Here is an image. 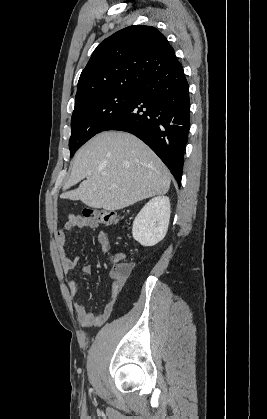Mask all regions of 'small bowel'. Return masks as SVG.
<instances>
[{
    "label": "small bowel",
    "instance_id": "c3829d8e",
    "mask_svg": "<svg viewBox=\"0 0 267 419\" xmlns=\"http://www.w3.org/2000/svg\"><path fill=\"white\" fill-rule=\"evenodd\" d=\"M98 223L82 215L70 214L67 216L64 225L61 229L56 232L55 239L59 245L61 252V262L64 274H68L73 271L79 264V257L69 256L65 251V244L67 242L68 235L78 228H90L96 229ZM97 241L104 253H110V241L108 234L104 231H100L97 235ZM84 274H91L92 267L86 265L82 268ZM128 275L118 276L113 272H110L111 278V298L103 306V309L100 313L89 311L82 303L76 302L74 308L77 314V318L82 326L91 327L99 326L105 323L113 311V306L116 300V297L122 290L127 280ZM80 283L77 279L71 280L69 288L71 293L74 296L78 295Z\"/></svg>",
    "mask_w": 267,
    "mask_h": 419
}]
</instances>
